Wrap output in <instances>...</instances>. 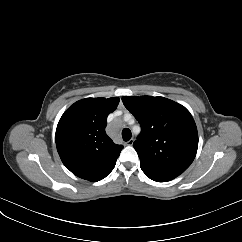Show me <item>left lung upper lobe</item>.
<instances>
[{"label":"left lung upper lobe","mask_w":242,"mask_h":242,"mask_svg":"<svg viewBox=\"0 0 242 242\" xmlns=\"http://www.w3.org/2000/svg\"><path fill=\"white\" fill-rule=\"evenodd\" d=\"M122 101L142 128L133 146L143 172L174 178L183 173L198 148V132L190 112L164 97L124 96Z\"/></svg>","instance_id":"left-lung-upper-lobe-1"}]
</instances>
